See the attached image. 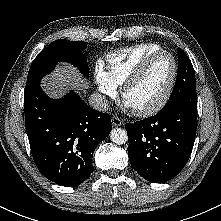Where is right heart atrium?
Here are the masks:
<instances>
[{
    "mask_svg": "<svg viewBox=\"0 0 221 221\" xmlns=\"http://www.w3.org/2000/svg\"><path fill=\"white\" fill-rule=\"evenodd\" d=\"M93 77L97 91L102 98L113 97L116 94L117 87L102 66H96Z\"/></svg>",
    "mask_w": 221,
    "mask_h": 221,
    "instance_id": "1",
    "label": "right heart atrium"
}]
</instances>
